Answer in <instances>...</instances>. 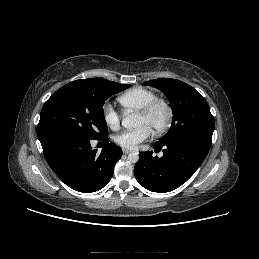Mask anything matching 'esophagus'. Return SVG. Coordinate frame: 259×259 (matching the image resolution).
<instances>
[{"label": "esophagus", "mask_w": 259, "mask_h": 259, "mask_svg": "<svg viewBox=\"0 0 259 259\" xmlns=\"http://www.w3.org/2000/svg\"><path fill=\"white\" fill-rule=\"evenodd\" d=\"M123 153H124V154H129V153H130V151H129V150H127V149H123Z\"/></svg>", "instance_id": "34e87169"}]
</instances>
